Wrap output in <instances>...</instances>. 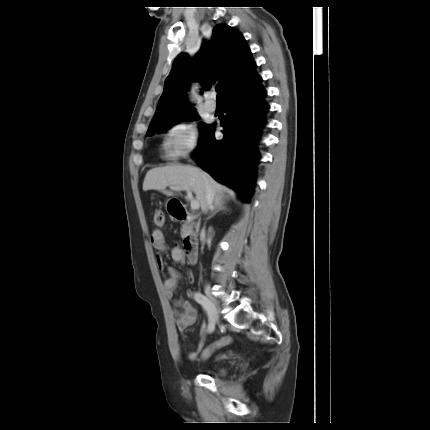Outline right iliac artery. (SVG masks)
Wrapping results in <instances>:
<instances>
[{
	"label": "right iliac artery",
	"instance_id": "obj_1",
	"mask_svg": "<svg viewBox=\"0 0 430 430\" xmlns=\"http://www.w3.org/2000/svg\"><path fill=\"white\" fill-rule=\"evenodd\" d=\"M193 298L207 312V315H208V331L210 333L213 332L215 329V323L211 318L208 298L206 296H204L203 294H201L200 292H195L193 295Z\"/></svg>",
	"mask_w": 430,
	"mask_h": 430
}]
</instances>
